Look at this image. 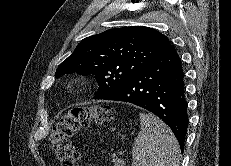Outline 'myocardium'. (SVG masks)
I'll list each match as a JSON object with an SVG mask.
<instances>
[{
	"label": "myocardium",
	"mask_w": 231,
	"mask_h": 166,
	"mask_svg": "<svg viewBox=\"0 0 231 166\" xmlns=\"http://www.w3.org/2000/svg\"><path fill=\"white\" fill-rule=\"evenodd\" d=\"M89 84V81L84 78V77H74L71 81H70V86L74 89H82L87 87Z\"/></svg>",
	"instance_id": "1"
}]
</instances>
